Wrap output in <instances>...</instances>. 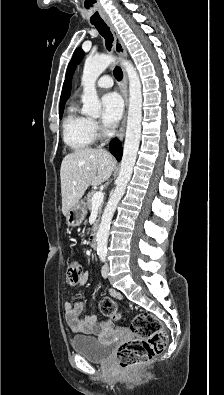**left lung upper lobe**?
I'll return each instance as SVG.
<instances>
[{"label": "left lung upper lobe", "mask_w": 224, "mask_h": 395, "mask_svg": "<svg viewBox=\"0 0 224 395\" xmlns=\"http://www.w3.org/2000/svg\"><path fill=\"white\" fill-rule=\"evenodd\" d=\"M83 55H84V52L82 51L81 48L76 49L73 54L72 60L69 64V68H68V72H67V97L70 94L71 81H72V76H73L74 70L76 68V65L82 59Z\"/></svg>", "instance_id": "1"}]
</instances>
